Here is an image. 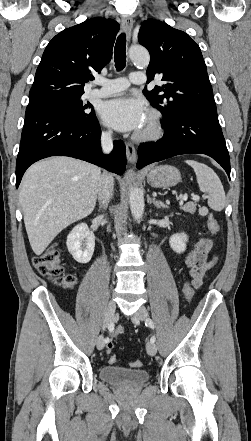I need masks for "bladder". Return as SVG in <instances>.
I'll list each match as a JSON object with an SVG mask.
<instances>
[{"label":"bladder","instance_id":"bladder-1","mask_svg":"<svg viewBox=\"0 0 251 441\" xmlns=\"http://www.w3.org/2000/svg\"><path fill=\"white\" fill-rule=\"evenodd\" d=\"M101 380L119 387H138L145 384L150 374L142 369H129L118 366H103L99 370Z\"/></svg>","mask_w":251,"mask_h":441}]
</instances>
